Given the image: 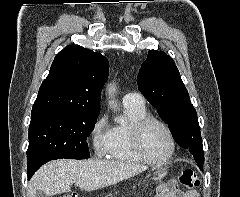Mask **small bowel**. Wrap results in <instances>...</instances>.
<instances>
[{"label": "small bowel", "instance_id": "1", "mask_svg": "<svg viewBox=\"0 0 240 197\" xmlns=\"http://www.w3.org/2000/svg\"><path fill=\"white\" fill-rule=\"evenodd\" d=\"M159 197L163 196L159 195ZM165 197H198V194L195 190L181 191L174 188Z\"/></svg>", "mask_w": 240, "mask_h": 197}]
</instances>
